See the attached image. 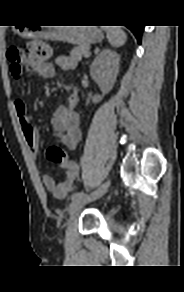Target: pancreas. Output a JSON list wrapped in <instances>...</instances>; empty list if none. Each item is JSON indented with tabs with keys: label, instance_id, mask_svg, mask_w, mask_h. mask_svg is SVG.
<instances>
[{
	"label": "pancreas",
	"instance_id": "1",
	"mask_svg": "<svg viewBox=\"0 0 184 292\" xmlns=\"http://www.w3.org/2000/svg\"><path fill=\"white\" fill-rule=\"evenodd\" d=\"M89 49V45H79L71 50L70 55L75 61H79L83 56L88 54Z\"/></svg>",
	"mask_w": 184,
	"mask_h": 292
}]
</instances>
